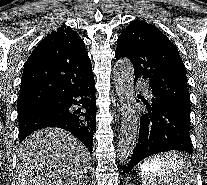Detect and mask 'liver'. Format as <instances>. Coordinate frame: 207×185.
<instances>
[{"instance_id": "6515ba94", "label": "liver", "mask_w": 207, "mask_h": 185, "mask_svg": "<svg viewBox=\"0 0 207 185\" xmlns=\"http://www.w3.org/2000/svg\"><path fill=\"white\" fill-rule=\"evenodd\" d=\"M90 153L65 129H39L26 137L17 153L11 185H82Z\"/></svg>"}]
</instances>
